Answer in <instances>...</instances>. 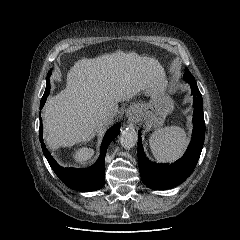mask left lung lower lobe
Masks as SVG:
<instances>
[{"label": "left lung lower lobe", "mask_w": 240, "mask_h": 240, "mask_svg": "<svg viewBox=\"0 0 240 240\" xmlns=\"http://www.w3.org/2000/svg\"><path fill=\"white\" fill-rule=\"evenodd\" d=\"M184 79L191 86L194 96L193 132L191 142L183 157L172 164H154L150 162L138 137V164L141 178L146 186L155 190H166L182 184L193 172L205 138V121L203 115L202 95L193 75L186 71Z\"/></svg>", "instance_id": "left-lung-lower-lobe-1"}]
</instances>
